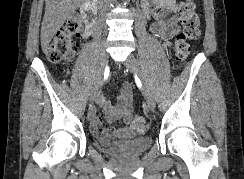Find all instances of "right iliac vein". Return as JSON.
I'll list each match as a JSON object with an SVG mask.
<instances>
[{
	"instance_id": "1",
	"label": "right iliac vein",
	"mask_w": 244,
	"mask_h": 179,
	"mask_svg": "<svg viewBox=\"0 0 244 179\" xmlns=\"http://www.w3.org/2000/svg\"><path fill=\"white\" fill-rule=\"evenodd\" d=\"M108 64V53L105 49H101L98 58V65L94 76V81L91 89V98H95L100 90L103 73Z\"/></svg>"
}]
</instances>
